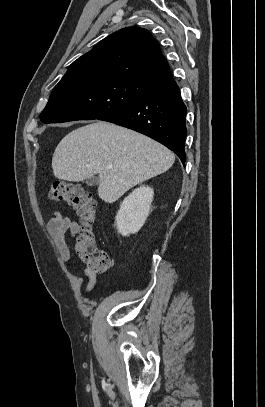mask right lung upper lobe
I'll return each mask as SVG.
<instances>
[{
	"mask_svg": "<svg viewBox=\"0 0 265 407\" xmlns=\"http://www.w3.org/2000/svg\"><path fill=\"white\" fill-rule=\"evenodd\" d=\"M87 74L129 79L151 87L172 76L157 40L139 27L121 29L101 40L69 66L61 81Z\"/></svg>",
	"mask_w": 265,
	"mask_h": 407,
	"instance_id": "obj_1",
	"label": "right lung upper lobe"
}]
</instances>
